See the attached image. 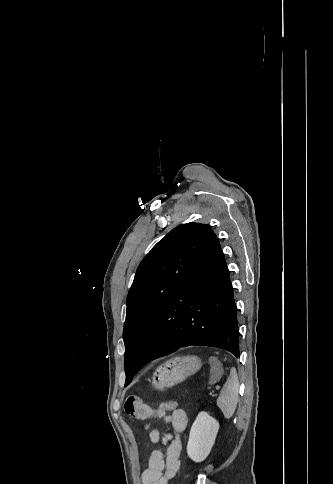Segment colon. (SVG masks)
Segmentation results:
<instances>
[{
	"instance_id": "obj_1",
	"label": "colon",
	"mask_w": 333,
	"mask_h": 484,
	"mask_svg": "<svg viewBox=\"0 0 333 484\" xmlns=\"http://www.w3.org/2000/svg\"><path fill=\"white\" fill-rule=\"evenodd\" d=\"M210 366H211L210 383L213 385V384H216L221 379L222 368H221V365L215 360L211 361ZM175 409H179V404L175 401H168L160 404L158 407H155L157 414H162Z\"/></svg>"
}]
</instances>
